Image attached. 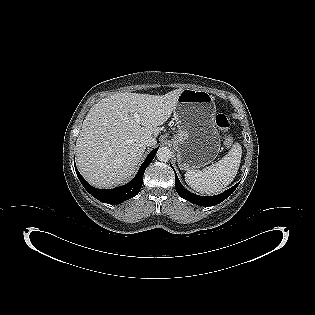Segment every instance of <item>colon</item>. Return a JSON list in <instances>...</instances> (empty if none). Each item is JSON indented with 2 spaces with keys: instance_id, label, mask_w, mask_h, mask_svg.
<instances>
[{
  "instance_id": "colon-1",
  "label": "colon",
  "mask_w": 315,
  "mask_h": 315,
  "mask_svg": "<svg viewBox=\"0 0 315 315\" xmlns=\"http://www.w3.org/2000/svg\"><path fill=\"white\" fill-rule=\"evenodd\" d=\"M215 123L217 127L222 131H228L231 127L230 121L224 114H218L215 118ZM222 145L224 147H232L234 145V140L230 136H226L222 140Z\"/></svg>"
}]
</instances>
